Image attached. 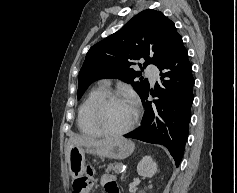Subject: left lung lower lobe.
<instances>
[{
    "label": "left lung lower lobe",
    "instance_id": "obj_1",
    "mask_svg": "<svg viewBox=\"0 0 237 193\" xmlns=\"http://www.w3.org/2000/svg\"><path fill=\"white\" fill-rule=\"evenodd\" d=\"M157 67L161 83H156L154 91L148 89L141 98L145 107L141 126L124 137L166 146L179 166L188 137L194 85L182 38ZM149 94L158 99L148 101Z\"/></svg>",
    "mask_w": 237,
    "mask_h": 193
}]
</instances>
